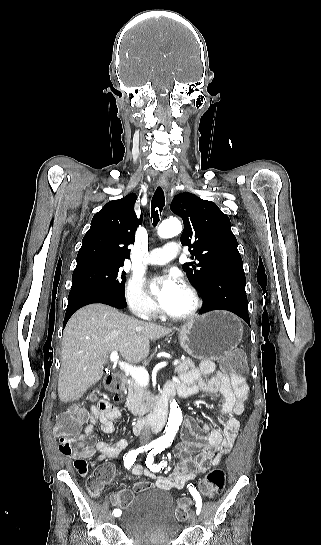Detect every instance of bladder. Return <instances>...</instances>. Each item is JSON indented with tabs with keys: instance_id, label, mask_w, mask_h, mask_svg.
I'll return each mask as SVG.
<instances>
[{
	"instance_id": "bladder-1",
	"label": "bladder",
	"mask_w": 321,
	"mask_h": 545,
	"mask_svg": "<svg viewBox=\"0 0 321 545\" xmlns=\"http://www.w3.org/2000/svg\"><path fill=\"white\" fill-rule=\"evenodd\" d=\"M118 520L133 545H172L181 532L171 495L155 487L133 495Z\"/></svg>"
}]
</instances>
